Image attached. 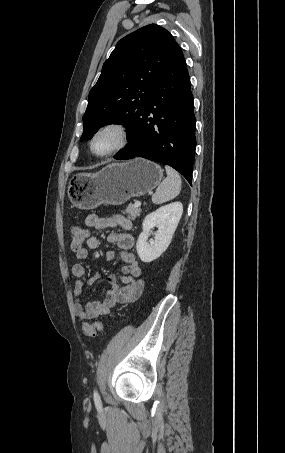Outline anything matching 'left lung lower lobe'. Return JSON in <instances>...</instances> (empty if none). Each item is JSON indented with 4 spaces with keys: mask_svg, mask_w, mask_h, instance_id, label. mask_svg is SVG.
Segmentation results:
<instances>
[{
    "mask_svg": "<svg viewBox=\"0 0 285 453\" xmlns=\"http://www.w3.org/2000/svg\"><path fill=\"white\" fill-rule=\"evenodd\" d=\"M195 125L190 78L179 47L128 136L129 143L114 158L125 160L139 156L167 164L191 184Z\"/></svg>",
    "mask_w": 285,
    "mask_h": 453,
    "instance_id": "0a47b994",
    "label": "left lung lower lobe"
}]
</instances>
